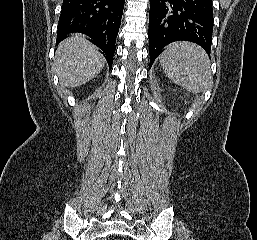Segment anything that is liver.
<instances>
[{
	"label": "liver",
	"instance_id": "liver-1",
	"mask_svg": "<svg viewBox=\"0 0 257 240\" xmlns=\"http://www.w3.org/2000/svg\"><path fill=\"white\" fill-rule=\"evenodd\" d=\"M54 65L61 85L78 87L98 75L105 59L85 36L75 34L60 43Z\"/></svg>",
	"mask_w": 257,
	"mask_h": 240
}]
</instances>
